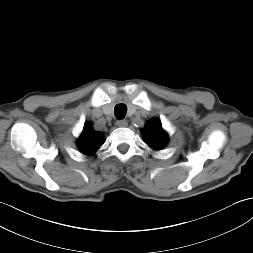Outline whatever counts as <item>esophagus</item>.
<instances>
[{"label":"esophagus","mask_w":253,"mask_h":253,"mask_svg":"<svg viewBox=\"0 0 253 253\" xmlns=\"http://www.w3.org/2000/svg\"><path fill=\"white\" fill-rule=\"evenodd\" d=\"M117 126L119 127H126L127 126V121L126 120H118L116 122Z\"/></svg>","instance_id":"esophagus-1"}]
</instances>
